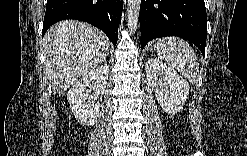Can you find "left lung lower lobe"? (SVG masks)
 Masks as SVG:
<instances>
[{
	"label": "left lung lower lobe",
	"instance_id": "left-lung-lower-lobe-1",
	"mask_svg": "<svg viewBox=\"0 0 247 156\" xmlns=\"http://www.w3.org/2000/svg\"><path fill=\"white\" fill-rule=\"evenodd\" d=\"M206 21L204 0H141V48L158 37L178 36L205 55Z\"/></svg>",
	"mask_w": 247,
	"mask_h": 156
}]
</instances>
